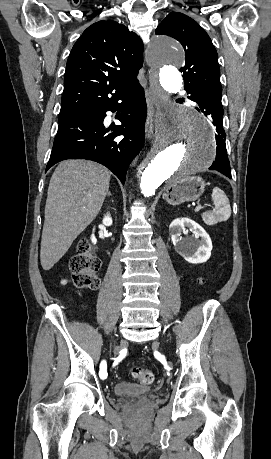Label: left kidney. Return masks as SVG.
Returning <instances> with one entry per match:
<instances>
[{
    "label": "left kidney",
    "mask_w": 271,
    "mask_h": 459,
    "mask_svg": "<svg viewBox=\"0 0 271 459\" xmlns=\"http://www.w3.org/2000/svg\"><path fill=\"white\" fill-rule=\"evenodd\" d=\"M186 228L194 229L195 235L190 243H186L182 239L181 231ZM169 231L176 251L183 255L187 261H190V263H203V261L209 259L212 249L211 237L194 220L177 218V220L171 222ZM198 237H201L200 241Z\"/></svg>",
    "instance_id": "5707ae66"
}]
</instances>
